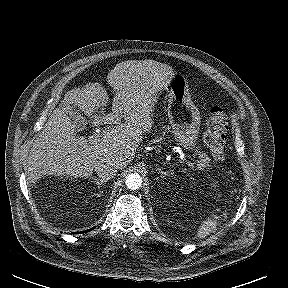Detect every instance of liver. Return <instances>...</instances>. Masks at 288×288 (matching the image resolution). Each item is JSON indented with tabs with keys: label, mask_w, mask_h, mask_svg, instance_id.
<instances>
[{
	"label": "liver",
	"mask_w": 288,
	"mask_h": 288,
	"mask_svg": "<svg viewBox=\"0 0 288 288\" xmlns=\"http://www.w3.org/2000/svg\"><path fill=\"white\" fill-rule=\"evenodd\" d=\"M173 73L172 67L154 60L117 64L107 77L115 91L112 113L107 115L103 107L107 105L108 95L99 83L67 92L64 102L68 108L78 106L91 116L93 127L114 126L105 128L96 141H89L76 134L65 108L55 109L30 150L26 172L29 183L46 174L89 177L98 162L108 159L114 161L118 169H124L134 159L143 135L150 132L156 95ZM98 109L100 114L92 115Z\"/></svg>",
	"instance_id": "1"
}]
</instances>
